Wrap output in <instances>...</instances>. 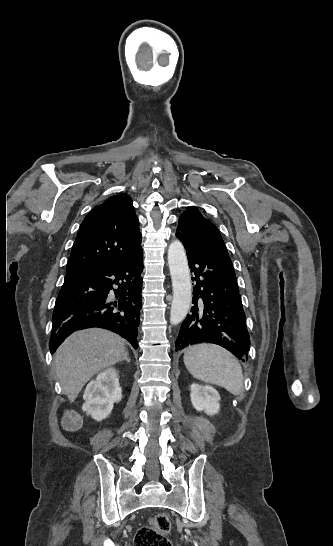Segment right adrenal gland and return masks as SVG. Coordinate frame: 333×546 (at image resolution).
Returning <instances> with one entry per match:
<instances>
[{
    "label": "right adrenal gland",
    "mask_w": 333,
    "mask_h": 546,
    "mask_svg": "<svg viewBox=\"0 0 333 546\" xmlns=\"http://www.w3.org/2000/svg\"><path fill=\"white\" fill-rule=\"evenodd\" d=\"M127 355H128V352H125V354H124L123 358L121 359V361L126 360L128 363H130V359L128 358Z\"/></svg>",
    "instance_id": "2a0ac1e0"
}]
</instances>
